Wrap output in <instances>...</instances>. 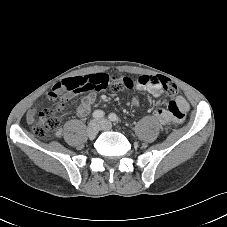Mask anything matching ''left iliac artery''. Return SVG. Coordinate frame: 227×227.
<instances>
[{
	"mask_svg": "<svg viewBox=\"0 0 227 227\" xmlns=\"http://www.w3.org/2000/svg\"><path fill=\"white\" fill-rule=\"evenodd\" d=\"M108 118L113 122H118V116L115 113H111Z\"/></svg>",
	"mask_w": 227,
	"mask_h": 227,
	"instance_id": "obj_1",
	"label": "left iliac artery"
}]
</instances>
